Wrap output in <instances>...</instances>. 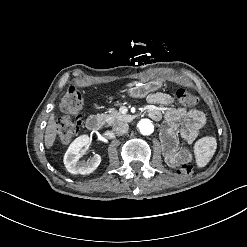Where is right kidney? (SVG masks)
I'll list each match as a JSON object with an SVG mask.
<instances>
[{
  "instance_id": "1",
  "label": "right kidney",
  "mask_w": 247,
  "mask_h": 247,
  "mask_svg": "<svg viewBox=\"0 0 247 247\" xmlns=\"http://www.w3.org/2000/svg\"><path fill=\"white\" fill-rule=\"evenodd\" d=\"M90 137L88 135H81L77 137L68 147L64 155V165L71 174L88 175L95 171L101 163V155L94 154L89 161H79L78 155L81 149H86L89 146Z\"/></svg>"
}]
</instances>
